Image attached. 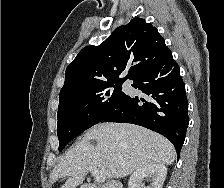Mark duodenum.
I'll list each match as a JSON object with an SVG mask.
<instances>
[{
    "instance_id": "410a0bca",
    "label": "duodenum",
    "mask_w": 224,
    "mask_h": 188,
    "mask_svg": "<svg viewBox=\"0 0 224 188\" xmlns=\"http://www.w3.org/2000/svg\"><path fill=\"white\" fill-rule=\"evenodd\" d=\"M83 188H101V187L93 185V184H87Z\"/></svg>"
}]
</instances>
